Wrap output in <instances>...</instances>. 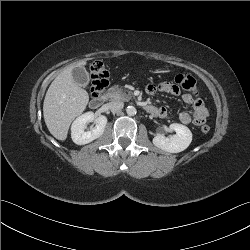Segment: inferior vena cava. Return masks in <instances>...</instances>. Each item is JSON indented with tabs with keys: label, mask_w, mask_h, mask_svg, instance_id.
Returning <instances> with one entry per match:
<instances>
[{
	"label": "inferior vena cava",
	"mask_w": 250,
	"mask_h": 250,
	"mask_svg": "<svg viewBox=\"0 0 250 250\" xmlns=\"http://www.w3.org/2000/svg\"><path fill=\"white\" fill-rule=\"evenodd\" d=\"M124 106L123 102L120 101H114L110 102L107 104V107L112 111V112H118L120 111Z\"/></svg>",
	"instance_id": "602c4592"
}]
</instances>
